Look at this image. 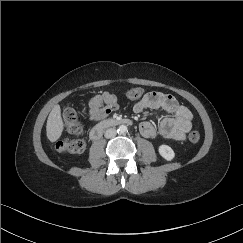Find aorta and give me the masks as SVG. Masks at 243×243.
<instances>
[{
	"instance_id": "1",
	"label": "aorta",
	"mask_w": 243,
	"mask_h": 243,
	"mask_svg": "<svg viewBox=\"0 0 243 243\" xmlns=\"http://www.w3.org/2000/svg\"><path fill=\"white\" fill-rule=\"evenodd\" d=\"M127 131H128V129H127V126H125V125H120V126L118 127V129H117V132L120 133V134H124V133H126Z\"/></svg>"
}]
</instances>
